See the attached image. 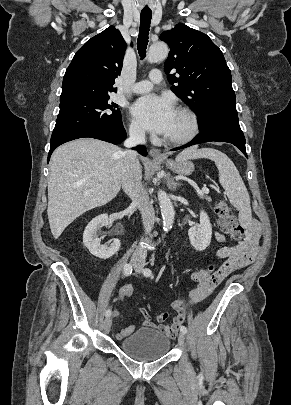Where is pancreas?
Wrapping results in <instances>:
<instances>
[{"label": "pancreas", "instance_id": "obj_1", "mask_svg": "<svg viewBox=\"0 0 291 405\" xmlns=\"http://www.w3.org/2000/svg\"><path fill=\"white\" fill-rule=\"evenodd\" d=\"M199 198H200V199H203V200H206V201H208V202L211 201V198H210L208 195H206V194H199Z\"/></svg>", "mask_w": 291, "mask_h": 405}]
</instances>
